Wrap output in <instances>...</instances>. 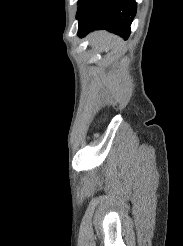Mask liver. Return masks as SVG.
<instances>
[{
	"mask_svg": "<svg viewBox=\"0 0 183 246\" xmlns=\"http://www.w3.org/2000/svg\"><path fill=\"white\" fill-rule=\"evenodd\" d=\"M90 45L92 47L107 50L118 44L120 39L106 31H97L89 35Z\"/></svg>",
	"mask_w": 183,
	"mask_h": 246,
	"instance_id": "liver-1",
	"label": "liver"
}]
</instances>
